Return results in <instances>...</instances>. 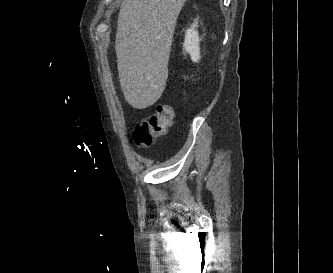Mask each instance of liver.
Masks as SVG:
<instances>
[{
	"label": "liver",
	"mask_w": 333,
	"mask_h": 273,
	"mask_svg": "<svg viewBox=\"0 0 333 273\" xmlns=\"http://www.w3.org/2000/svg\"><path fill=\"white\" fill-rule=\"evenodd\" d=\"M186 0H124L118 16L116 55L125 100L145 109L161 97L178 15Z\"/></svg>",
	"instance_id": "obj_1"
}]
</instances>
